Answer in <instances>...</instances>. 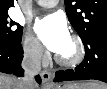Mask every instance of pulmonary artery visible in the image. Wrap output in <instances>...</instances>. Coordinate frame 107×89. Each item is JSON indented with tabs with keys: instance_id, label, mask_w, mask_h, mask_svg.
Masks as SVG:
<instances>
[{
	"instance_id": "e3ab8cb5",
	"label": "pulmonary artery",
	"mask_w": 107,
	"mask_h": 89,
	"mask_svg": "<svg viewBox=\"0 0 107 89\" xmlns=\"http://www.w3.org/2000/svg\"><path fill=\"white\" fill-rule=\"evenodd\" d=\"M36 3L42 8H51L57 5L58 0H38Z\"/></svg>"
}]
</instances>
